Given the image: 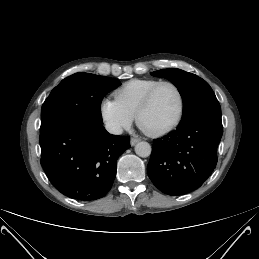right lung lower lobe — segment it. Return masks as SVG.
<instances>
[{"label": "right lung lower lobe", "instance_id": "obj_1", "mask_svg": "<svg viewBox=\"0 0 259 259\" xmlns=\"http://www.w3.org/2000/svg\"><path fill=\"white\" fill-rule=\"evenodd\" d=\"M41 165L67 197L94 201L111 189L118 157L130 138L108 133L99 123L60 122L40 130Z\"/></svg>", "mask_w": 259, "mask_h": 259}]
</instances>
